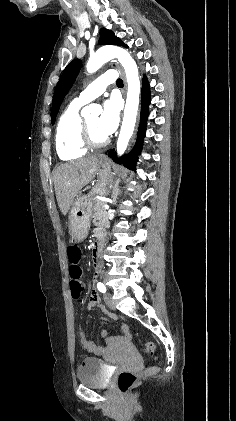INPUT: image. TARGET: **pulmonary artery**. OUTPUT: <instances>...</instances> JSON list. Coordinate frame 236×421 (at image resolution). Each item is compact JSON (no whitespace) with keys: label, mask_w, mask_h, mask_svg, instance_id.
Returning <instances> with one entry per match:
<instances>
[{"label":"pulmonary artery","mask_w":236,"mask_h":421,"mask_svg":"<svg viewBox=\"0 0 236 421\" xmlns=\"http://www.w3.org/2000/svg\"><path fill=\"white\" fill-rule=\"evenodd\" d=\"M115 71L108 69L105 74L101 75L95 83L90 84L75 101L86 104L97 98L102 92L106 90L108 85L115 81Z\"/></svg>","instance_id":"e3ab8cb5"}]
</instances>
